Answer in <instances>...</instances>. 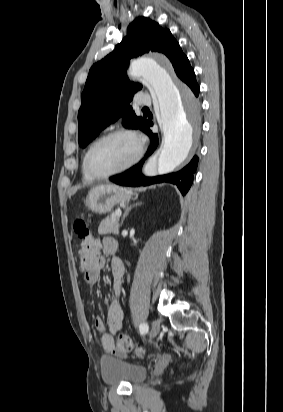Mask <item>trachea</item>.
Segmentation results:
<instances>
[{"mask_svg": "<svg viewBox=\"0 0 283 412\" xmlns=\"http://www.w3.org/2000/svg\"><path fill=\"white\" fill-rule=\"evenodd\" d=\"M148 111H149V109L147 107L143 108V112H148Z\"/></svg>", "mask_w": 283, "mask_h": 412, "instance_id": "1", "label": "trachea"}]
</instances>
